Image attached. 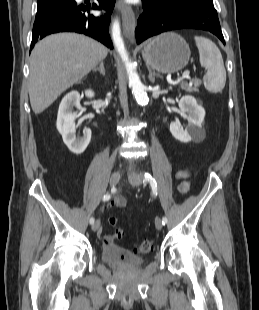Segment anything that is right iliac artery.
<instances>
[{
    "label": "right iliac artery",
    "instance_id": "1",
    "mask_svg": "<svg viewBox=\"0 0 259 310\" xmlns=\"http://www.w3.org/2000/svg\"><path fill=\"white\" fill-rule=\"evenodd\" d=\"M113 190H115V189H113ZM110 198H111V195L107 193L106 195L103 196V201H107V200H109ZM89 222H90V224H93V223H94V218L91 217L90 220H89Z\"/></svg>",
    "mask_w": 259,
    "mask_h": 310
}]
</instances>
